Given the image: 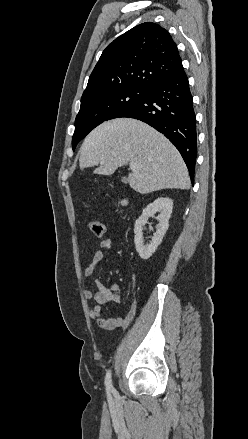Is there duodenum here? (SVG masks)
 <instances>
[{
	"label": "duodenum",
	"mask_w": 248,
	"mask_h": 439,
	"mask_svg": "<svg viewBox=\"0 0 248 439\" xmlns=\"http://www.w3.org/2000/svg\"><path fill=\"white\" fill-rule=\"evenodd\" d=\"M123 204H126V201H123Z\"/></svg>",
	"instance_id": "410a0bca"
}]
</instances>
